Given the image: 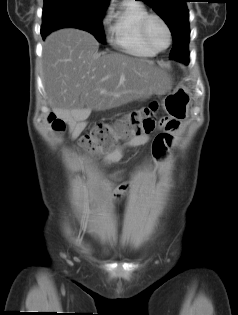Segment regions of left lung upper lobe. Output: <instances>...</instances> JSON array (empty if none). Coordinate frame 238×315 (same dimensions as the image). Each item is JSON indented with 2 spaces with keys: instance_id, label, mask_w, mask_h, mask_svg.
<instances>
[{
  "instance_id": "left-lung-upper-lobe-1",
  "label": "left lung upper lobe",
  "mask_w": 238,
  "mask_h": 315,
  "mask_svg": "<svg viewBox=\"0 0 238 315\" xmlns=\"http://www.w3.org/2000/svg\"><path fill=\"white\" fill-rule=\"evenodd\" d=\"M146 2L162 17L168 25L172 36L183 34L189 39V22L186 0H139ZM172 58V57H170Z\"/></svg>"
}]
</instances>
